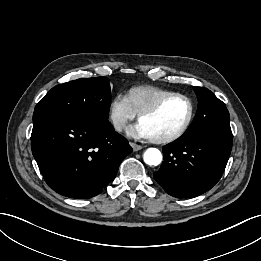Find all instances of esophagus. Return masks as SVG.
<instances>
[{
	"label": "esophagus",
	"instance_id": "esophagus-1",
	"mask_svg": "<svg viewBox=\"0 0 261 261\" xmlns=\"http://www.w3.org/2000/svg\"><path fill=\"white\" fill-rule=\"evenodd\" d=\"M130 145L132 146V148H133L134 151H139V150L142 149V146H141V145H138V144H136V143L131 142Z\"/></svg>",
	"mask_w": 261,
	"mask_h": 261
}]
</instances>
